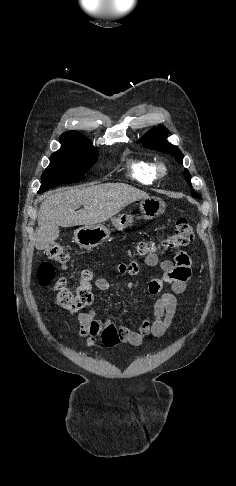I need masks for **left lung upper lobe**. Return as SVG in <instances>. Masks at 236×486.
<instances>
[{"instance_id":"left-lung-upper-lobe-1","label":"left lung upper lobe","mask_w":236,"mask_h":486,"mask_svg":"<svg viewBox=\"0 0 236 486\" xmlns=\"http://www.w3.org/2000/svg\"><path fill=\"white\" fill-rule=\"evenodd\" d=\"M140 142H143L142 145L145 148L158 150L165 153H171L180 164H182L183 162L182 152L178 149V147L167 141V130L163 126H159L150 130L142 137L141 140L138 141V143ZM185 175L188 185L192 187L190 174L187 169H185ZM192 196L194 198H200L197 193H192Z\"/></svg>"}]
</instances>
